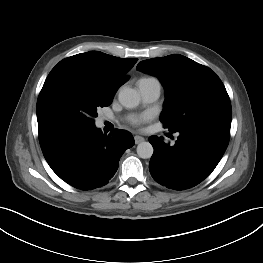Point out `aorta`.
Listing matches in <instances>:
<instances>
[{"instance_id":"1","label":"aorta","mask_w":263,"mask_h":263,"mask_svg":"<svg viewBox=\"0 0 263 263\" xmlns=\"http://www.w3.org/2000/svg\"><path fill=\"white\" fill-rule=\"evenodd\" d=\"M119 102L126 108H134L140 102L139 93L132 88H123L118 95ZM137 154L140 158H151L154 152L153 146L149 142H141L137 146Z\"/></svg>"}]
</instances>
